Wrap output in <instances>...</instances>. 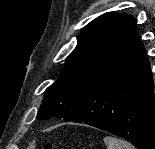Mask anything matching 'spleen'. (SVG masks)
<instances>
[{
    "instance_id": "3e777b00",
    "label": "spleen",
    "mask_w": 155,
    "mask_h": 149,
    "mask_svg": "<svg viewBox=\"0 0 155 149\" xmlns=\"http://www.w3.org/2000/svg\"><path fill=\"white\" fill-rule=\"evenodd\" d=\"M103 141L107 149H136L127 141L112 136L104 137Z\"/></svg>"
}]
</instances>
